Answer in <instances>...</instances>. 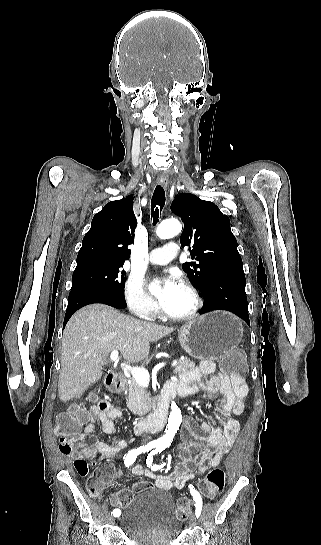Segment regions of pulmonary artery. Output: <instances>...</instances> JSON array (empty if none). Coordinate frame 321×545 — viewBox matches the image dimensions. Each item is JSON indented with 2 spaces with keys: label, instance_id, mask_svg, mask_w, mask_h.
<instances>
[{
  "label": "pulmonary artery",
  "instance_id": "e3ab8cb5",
  "mask_svg": "<svg viewBox=\"0 0 321 545\" xmlns=\"http://www.w3.org/2000/svg\"><path fill=\"white\" fill-rule=\"evenodd\" d=\"M178 250V243L176 241H167L165 243V250L162 248L153 249L144 260V264H156L164 265L170 261H175Z\"/></svg>",
  "mask_w": 321,
  "mask_h": 545
}]
</instances>
